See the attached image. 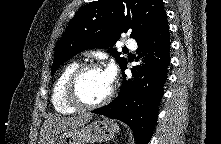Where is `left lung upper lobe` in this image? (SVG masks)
Returning <instances> with one entry per match:
<instances>
[{"label": "left lung upper lobe", "instance_id": "1", "mask_svg": "<svg viewBox=\"0 0 221 144\" xmlns=\"http://www.w3.org/2000/svg\"><path fill=\"white\" fill-rule=\"evenodd\" d=\"M162 0H98L81 7L60 39L51 74L66 60L88 48H109L120 68L127 59L112 48L122 32L136 42L148 36L165 15Z\"/></svg>", "mask_w": 221, "mask_h": 144}]
</instances>
